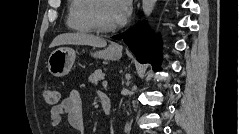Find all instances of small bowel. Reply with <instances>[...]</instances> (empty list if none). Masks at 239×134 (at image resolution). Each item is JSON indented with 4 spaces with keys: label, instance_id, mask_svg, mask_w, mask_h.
<instances>
[{
    "label": "small bowel",
    "instance_id": "small-bowel-1",
    "mask_svg": "<svg viewBox=\"0 0 239 134\" xmlns=\"http://www.w3.org/2000/svg\"><path fill=\"white\" fill-rule=\"evenodd\" d=\"M102 94H99V97ZM66 116L67 120L72 128L79 133H85V117L82 99L80 93L77 90L71 91L61 103L53 106L50 111V124L57 127L62 117Z\"/></svg>",
    "mask_w": 239,
    "mask_h": 134
}]
</instances>
